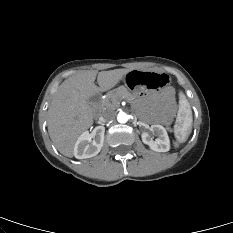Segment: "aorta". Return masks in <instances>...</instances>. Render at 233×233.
<instances>
[{
    "mask_svg": "<svg viewBox=\"0 0 233 233\" xmlns=\"http://www.w3.org/2000/svg\"><path fill=\"white\" fill-rule=\"evenodd\" d=\"M117 120L119 123H126L128 121V115L125 112H119Z\"/></svg>",
    "mask_w": 233,
    "mask_h": 233,
    "instance_id": "aorta-1",
    "label": "aorta"
}]
</instances>
